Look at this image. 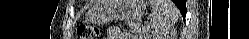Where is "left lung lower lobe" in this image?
I'll return each instance as SVG.
<instances>
[{
	"instance_id": "obj_1",
	"label": "left lung lower lobe",
	"mask_w": 249,
	"mask_h": 39,
	"mask_svg": "<svg viewBox=\"0 0 249 39\" xmlns=\"http://www.w3.org/2000/svg\"><path fill=\"white\" fill-rule=\"evenodd\" d=\"M173 2L177 5L182 16L184 17L186 15V1L185 0H173Z\"/></svg>"
}]
</instances>
